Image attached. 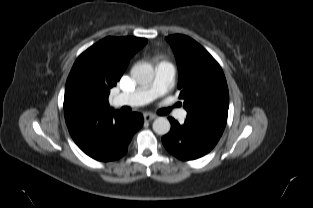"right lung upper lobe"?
<instances>
[{"label":"right lung upper lobe","instance_id":"obj_1","mask_svg":"<svg viewBox=\"0 0 313 208\" xmlns=\"http://www.w3.org/2000/svg\"><path fill=\"white\" fill-rule=\"evenodd\" d=\"M146 43L145 38L106 37L84 51L66 82L64 111L109 108L110 89L120 80L131 57Z\"/></svg>","mask_w":313,"mask_h":208}]
</instances>
